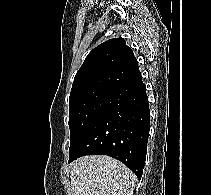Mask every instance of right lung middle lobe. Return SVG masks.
Wrapping results in <instances>:
<instances>
[{
	"label": "right lung middle lobe",
	"mask_w": 211,
	"mask_h": 195,
	"mask_svg": "<svg viewBox=\"0 0 211 195\" xmlns=\"http://www.w3.org/2000/svg\"><path fill=\"white\" fill-rule=\"evenodd\" d=\"M112 92L113 91L106 89H93L70 96V152L74 150L86 131L102 111Z\"/></svg>",
	"instance_id": "obj_1"
}]
</instances>
